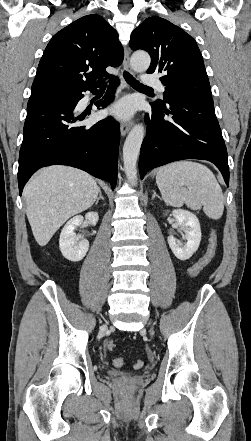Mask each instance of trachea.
Wrapping results in <instances>:
<instances>
[{"label":"trachea","instance_id":"obj_1","mask_svg":"<svg viewBox=\"0 0 251 441\" xmlns=\"http://www.w3.org/2000/svg\"><path fill=\"white\" fill-rule=\"evenodd\" d=\"M124 78L126 80V82L132 86V87H137V88H142V89H151L150 87H147L143 84H141L138 80H136L129 72L124 71Z\"/></svg>","mask_w":251,"mask_h":441}]
</instances>
